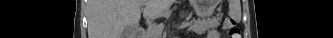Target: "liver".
Returning a JSON list of instances; mask_svg holds the SVG:
<instances>
[{
  "mask_svg": "<svg viewBox=\"0 0 333 38\" xmlns=\"http://www.w3.org/2000/svg\"><path fill=\"white\" fill-rule=\"evenodd\" d=\"M173 0H90L88 38H121L126 27L138 24L141 7L144 17L152 19L163 12Z\"/></svg>",
  "mask_w": 333,
  "mask_h": 38,
  "instance_id": "liver-1",
  "label": "liver"
}]
</instances>
